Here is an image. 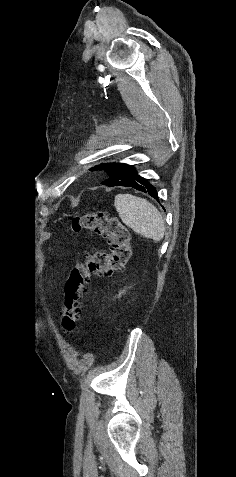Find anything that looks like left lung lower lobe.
<instances>
[{
    "label": "left lung lower lobe",
    "instance_id": "0a47b994",
    "mask_svg": "<svg viewBox=\"0 0 236 477\" xmlns=\"http://www.w3.org/2000/svg\"><path fill=\"white\" fill-rule=\"evenodd\" d=\"M116 186L131 187L136 190L142 191L149 194L153 198L158 200L157 190L152 186L145 178L137 174L135 169L128 177V179L122 183L117 184Z\"/></svg>",
    "mask_w": 236,
    "mask_h": 477
}]
</instances>
